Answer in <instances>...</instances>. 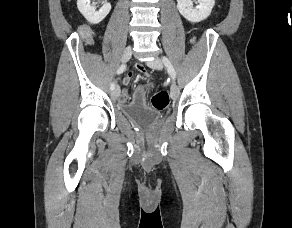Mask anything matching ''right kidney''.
I'll return each instance as SVG.
<instances>
[{
  "label": "right kidney",
  "mask_w": 292,
  "mask_h": 228,
  "mask_svg": "<svg viewBox=\"0 0 292 228\" xmlns=\"http://www.w3.org/2000/svg\"><path fill=\"white\" fill-rule=\"evenodd\" d=\"M91 0H77L80 13L91 24H99L110 12L111 4L105 3L99 10L90 4Z\"/></svg>",
  "instance_id": "1"
}]
</instances>
